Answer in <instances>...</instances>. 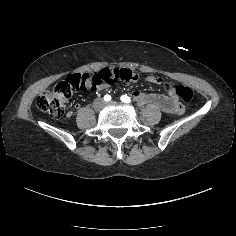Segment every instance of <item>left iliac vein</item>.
<instances>
[{
    "instance_id": "1",
    "label": "left iliac vein",
    "mask_w": 236,
    "mask_h": 236,
    "mask_svg": "<svg viewBox=\"0 0 236 236\" xmlns=\"http://www.w3.org/2000/svg\"><path fill=\"white\" fill-rule=\"evenodd\" d=\"M115 104H117L116 101H112V102H109V103H108V105H115Z\"/></svg>"
}]
</instances>
